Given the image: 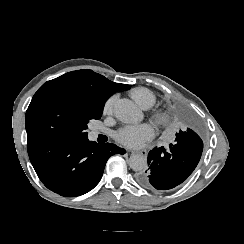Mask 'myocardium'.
<instances>
[{
    "label": "myocardium",
    "instance_id": "obj_1",
    "mask_svg": "<svg viewBox=\"0 0 244 244\" xmlns=\"http://www.w3.org/2000/svg\"><path fill=\"white\" fill-rule=\"evenodd\" d=\"M151 119L157 124V125H164L167 122V118L164 114L159 112H153L151 114Z\"/></svg>",
    "mask_w": 244,
    "mask_h": 244
}]
</instances>
